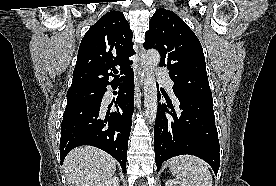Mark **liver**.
<instances>
[{"label":"liver","mask_w":276,"mask_h":186,"mask_svg":"<svg viewBox=\"0 0 276 186\" xmlns=\"http://www.w3.org/2000/svg\"><path fill=\"white\" fill-rule=\"evenodd\" d=\"M69 186H102L116 171V160L106 152L84 146L73 149L64 160Z\"/></svg>","instance_id":"liver-1"}]
</instances>
